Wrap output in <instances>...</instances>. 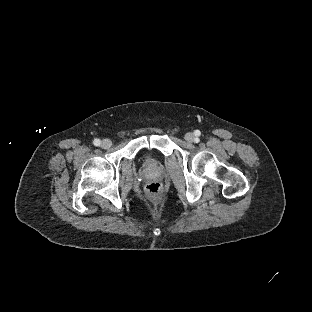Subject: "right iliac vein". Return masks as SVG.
Returning a JSON list of instances; mask_svg holds the SVG:
<instances>
[{"mask_svg":"<svg viewBox=\"0 0 312 312\" xmlns=\"http://www.w3.org/2000/svg\"><path fill=\"white\" fill-rule=\"evenodd\" d=\"M111 141L109 139H104L102 142H101V147L104 148V149H107L111 146Z\"/></svg>","mask_w":312,"mask_h":312,"instance_id":"obj_1","label":"right iliac vein"}]
</instances>
